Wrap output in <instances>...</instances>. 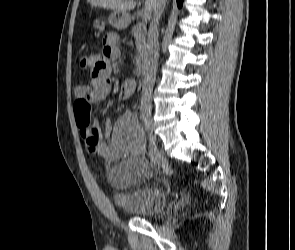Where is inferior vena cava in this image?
I'll use <instances>...</instances> for the list:
<instances>
[{
	"label": "inferior vena cava",
	"mask_w": 295,
	"mask_h": 250,
	"mask_svg": "<svg viewBox=\"0 0 295 250\" xmlns=\"http://www.w3.org/2000/svg\"><path fill=\"white\" fill-rule=\"evenodd\" d=\"M166 0H155L154 14L150 23L147 46H146V72L143 80L141 94V115H151V95L156 77L158 65L157 39H158V24L160 17L164 11Z\"/></svg>",
	"instance_id": "1"
}]
</instances>
